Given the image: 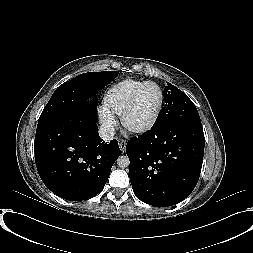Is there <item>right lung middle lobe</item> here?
<instances>
[{
	"label": "right lung middle lobe",
	"instance_id": "obj_1",
	"mask_svg": "<svg viewBox=\"0 0 253 253\" xmlns=\"http://www.w3.org/2000/svg\"><path fill=\"white\" fill-rule=\"evenodd\" d=\"M119 71L83 73L60 85L40 115L39 122L56 119L72 111L87 109L97 114V103L89 99L108 85Z\"/></svg>",
	"mask_w": 253,
	"mask_h": 253
}]
</instances>
